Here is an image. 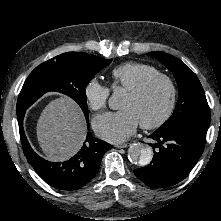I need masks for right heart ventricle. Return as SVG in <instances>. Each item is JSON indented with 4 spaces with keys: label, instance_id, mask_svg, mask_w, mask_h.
Returning a JSON list of instances; mask_svg holds the SVG:
<instances>
[{
    "label": "right heart ventricle",
    "instance_id": "1",
    "mask_svg": "<svg viewBox=\"0 0 221 221\" xmlns=\"http://www.w3.org/2000/svg\"><path fill=\"white\" fill-rule=\"evenodd\" d=\"M159 73L153 65L141 62H126L111 71L112 88L131 89L146 77Z\"/></svg>",
    "mask_w": 221,
    "mask_h": 221
}]
</instances>
